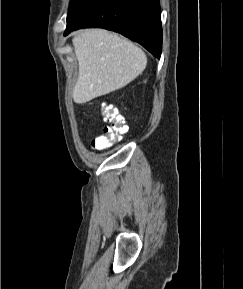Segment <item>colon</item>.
<instances>
[{
  "label": "colon",
  "mask_w": 243,
  "mask_h": 289,
  "mask_svg": "<svg viewBox=\"0 0 243 289\" xmlns=\"http://www.w3.org/2000/svg\"><path fill=\"white\" fill-rule=\"evenodd\" d=\"M101 113L103 119L109 125L104 128L103 133L92 140V147L94 149H106L110 147L128 131L125 118L116 107L103 103Z\"/></svg>",
  "instance_id": "colon-1"
}]
</instances>
